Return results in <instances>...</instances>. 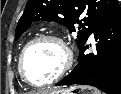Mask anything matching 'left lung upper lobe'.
Listing matches in <instances>:
<instances>
[{
	"instance_id": "obj_1",
	"label": "left lung upper lobe",
	"mask_w": 121,
	"mask_h": 94,
	"mask_svg": "<svg viewBox=\"0 0 121 94\" xmlns=\"http://www.w3.org/2000/svg\"><path fill=\"white\" fill-rule=\"evenodd\" d=\"M120 12L118 0H28L15 37L19 38L34 21H55L70 32H78L76 43L81 48L98 26Z\"/></svg>"
}]
</instances>
